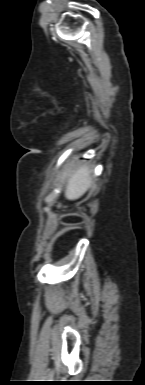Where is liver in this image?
I'll use <instances>...</instances> for the list:
<instances>
[{
  "label": "liver",
  "mask_w": 145,
  "mask_h": 385,
  "mask_svg": "<svg viewBox=\"0 0 145 385\" xmlns=\"http://www.w3.org/2000/svg\"><path fill=\"white\" fill-rule=\"evenodd\" d=\"M91 185V171L88 166H81L78 170L70 172L65 189V197L68 200H76L80 198Z\"/></svg>",
  "instance_id": "obj_1"
}]
</instances>
